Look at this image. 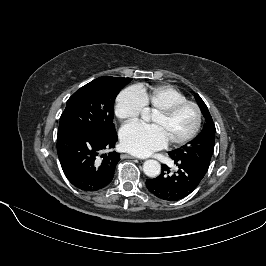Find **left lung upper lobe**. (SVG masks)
Listing matches in <instances>:
<instances>
[{
  "mask_svg": "<svg viewBox=\"0 0 266 266\" xmlns=\"http://www.w3.org/2000/svg\"><path fill=\"white\" fill-rule=\"evenodd\" d=\"M196 101L206 119L202 132L186 145L169 152L179 161L190 165L201 175H205L214 151L215 125L209 110L198 94L195 96Z\"/></svg>",
  "mask_w": 266,
  "mask_h": 266,
  "instance_id": "obj_1",
  "label": "left lung upper lobe"
}]
</instances>
